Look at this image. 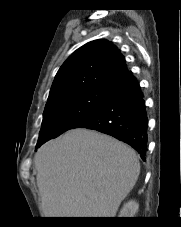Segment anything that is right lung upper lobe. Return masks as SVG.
Returning a JSON list of instances; mask_svg holds the SVG:
<instances>
[{"instance_id":"1","label":"right lung upper lobe","mask_w":181,"mask_h":227,"mask_svg":"<svg viewBox=\"0 0 181 227\" xmlns=\"http://www.w3.org/2000/svg\"><path fill=\"white\" fill-rule=\"evenodd\" d=\"M128 74L124 57L107 40L91 41L77 49L58 70L46 106L74 94L111 87Z\"/></svg>"}]
</instances>
